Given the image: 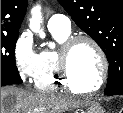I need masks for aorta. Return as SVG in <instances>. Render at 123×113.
Here are the masks:
<instances>
[{
  "instance_id": "aorta-1",
  "label": "aorta",
  "mask_w": 123,
  "mask_h": 113,
  "mask_svg": "<svg viewBox=\"0 0 123 113\" xmlns=\"http://www.w3.org/2000/svg\"><path fill=\"white\" fill-rule=\"evenodd\" d=\"M42 22L43 20H42L41 6L36 5L31 9V18L29 21V27L34 33L39 34L40 38L44 39L45 33L41 28ZM49 47L53 48L54 44L49 43Z\"/></svg>"
}]
</instances>
